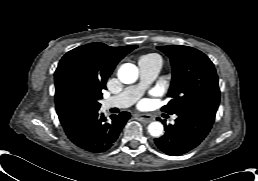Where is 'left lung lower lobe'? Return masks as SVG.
Instances as JSON below:
<instances>
[{
	"label": "left lung lower lobe",
	"instance_id": "0a47b994",
	"mask_svg": "<svg viewBox=\"0 0 258 181\" xmlns=\"http://www.w3.org/2000/svg\"><path fill=\"white\" fill-rule=\"evenodd\" d=\"M176 123L165 127V134L155 139L156 146L170 156H179L198 146L209 133L216 112L192 110L177 114Z\"/></svg>",
	"mask_w": 258,
	"mask_h": 181
}]
</instances>
